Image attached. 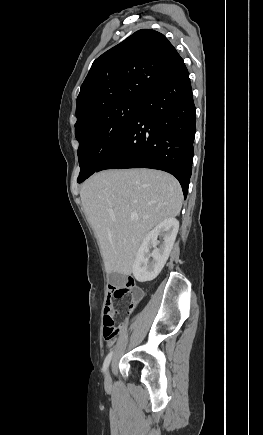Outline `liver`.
Masks as SVG:
<instances>
[{
	"instance_id": "1",
	"label": "liver",
	"mask_w": 263,
	"mask_h": 435,
	"mask_svg": "<svg viewBox=\"0 0 263 435\" xmlns=\"http://www.w3.org/2000/svg\"><path fill=\"white\" fill-rule=\"evenodd\" d=\"M107 273L130 275L146 235L181 210L182 189L172 175L152 169L104 170L80 191Z\"/></svg>"
}]
</instances>
